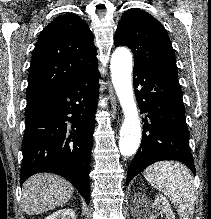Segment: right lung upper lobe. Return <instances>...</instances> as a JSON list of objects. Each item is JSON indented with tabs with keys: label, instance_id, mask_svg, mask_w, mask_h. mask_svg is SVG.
Here are the masks:
<instances>
[{
	"label": "right lung upper lobe",
	"instance_id": "cb5924a9",
	"mask_svg": "<svg viewBox=\"0 0 211 219\" xmlns=\"http://www.w3.org/2000/svg\"><path fill=\"white\" fill-rule=\"evenodd\" d=\"M96 67V47L88 25L73 13L58 16L43 29L32 54L27 103Z\"/></svg>",
	"mask_w": 211,
	"mask_h": 219
}]
</instances>
